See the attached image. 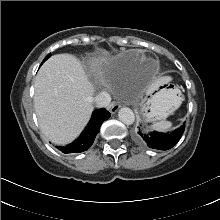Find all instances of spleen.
<instances>
[{
    "instance_id": "3e777b00",
    "label": "spleen",
    "mask_w": 220,
    "mask_h": 220,
    "mask_svg": "<svg viewBox=\"0 0 220 220\" xmlns=\"http://www.w3.org/2000/svg\"><path fill=\"white\" fill-rule=\"evenodd\" d=\"M171 127H172V122L170 121H159L151 125L152 129L163 132L168 131Z\"/></svg>"
}]
</instances>
